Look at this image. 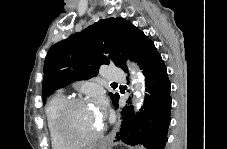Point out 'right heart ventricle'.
<instances>
[{"instance_id": "1", "label": "right heart ventricle", "mask_w": 227, "mask_h": 149, "mask_svg": "<svg viewBox=\"0 0 227 149\" xmlns=\"http://www.w3.org/2000/svg\"><path fill=\"white\" fill-rule=\"evenodd\" d=\"M66 100L67 98L65 95L62 93H57L49 100L46 105L45 114L51 146L53 149H67L68 146H70L61 139L56 126V116L58 110Z\"/></svg>"}]
</instances>
